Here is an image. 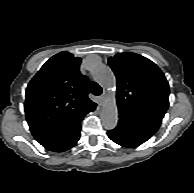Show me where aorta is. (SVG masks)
<instances>
[{
	"mask_svg": "<svg viewBox=\"0 0 194 193\" xmlns=\"http://www.w3.org/2000/svg\"><path fill=\"white\" fill-rule=\"evenodd\" d=\"M90 72L92 77L106 90L112 91L116 86V79L112 70L100 63H92ZM101 120L106 129H113L118 121V109L114 100L107 101L102 107Z\"/></svg>",
	"mask_w": 194,
	"mask_h": 193,
	"instance_id": "obj_1",
	"label": "aorta"
}]
</instances>
